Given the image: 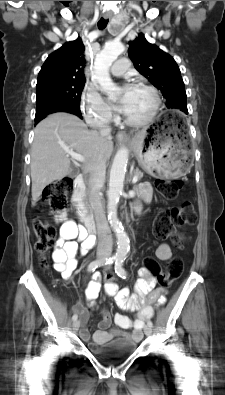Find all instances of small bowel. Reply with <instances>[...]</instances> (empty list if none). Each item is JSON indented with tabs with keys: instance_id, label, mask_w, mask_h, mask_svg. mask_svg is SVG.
Here are the masks:
<instances>
[{
	"instance_id": "c3829d8e",
	"label": "small bowel",
	"mask_w": 225,
	"mask_h": 395,
	"mask_svg": "<svg viewBox=\"0 0 225 395\" xmlns=\"http://www.w3.org/2000/svg\"><path fill=\"white\" fill-rule=\"evenodd\" d=\"M139 193L146 202H149L152 198V191L148 184L140 185ZM94 244L95 237L89 234L86 229L78 226L72 220L62 219L60 236L53 252L55 270L60 272L65 279H71L77 267V256L88 253ZM171 256L170 246L165 242L161 243L156 250V257L161 261H166ZM154 276L150 272H141L139 270V279L135 285L136 292L133 295H130L127 288L120 289V283L104 284V291L115 297L118 306L125 310L137 311V318L132 320L126 315L118 314L115 317L117 327H110L111 318L107 313H103L99 328L93 334V341L96 344H104L117 337L128 338L134 341L141 340L144 320L152 315V309L148 303L163 304L165 301L164 289L155 288L156 281ZM100 290V275L99 273H94L85 291L90 308L95 306ZM74 310L79 314L83 324L80 336L84 341H89L90 334L84 326L89 318V309L82 304H77ZM128 329H132V331H124Z\"/></svg>"
}]
</instances>
